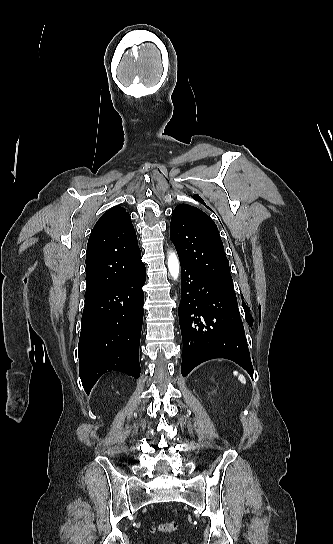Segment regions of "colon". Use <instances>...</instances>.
<instances>
[{
  "instance_id": "colon-1",
  "label": "colon",
  "mask_w": 333,
  "mask_h": 544,
  "mask_svg": "<svg viewBox=\"0 0 333 544\" xmlns=\"http://www.w3.org/2000/svg\"><path fill=\"white\" fill-rule=\"evenodd\" d=\"M176 529L175 522H163L152 527V531L161 533H172Z\"/></svg>"
}]
</instances>
